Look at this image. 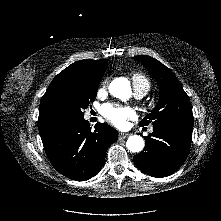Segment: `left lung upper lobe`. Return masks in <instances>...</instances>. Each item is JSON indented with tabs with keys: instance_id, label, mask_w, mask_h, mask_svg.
<instances>
[{
	"instance_id": "left-lung-upper-lobe-1",
	"label": "left lung upper lobe",
	"mask_w": 221,
	"mask_h": 221,
	"mask_svg": "<svg viewBox=\"0 0 221 221\" xmlns=\"http://www.w3.org/2000/svg\"><path fill=\"white\" fill-rule=\"evenodd\" d=\"M156 79L160 87L157 106L141 122V126L151 121L154 127L171 125L193 128L190 99L174 74L161 62L150 56H135Z\"/></svg>"
}]
</instances>
